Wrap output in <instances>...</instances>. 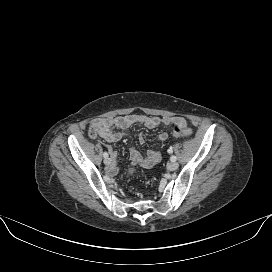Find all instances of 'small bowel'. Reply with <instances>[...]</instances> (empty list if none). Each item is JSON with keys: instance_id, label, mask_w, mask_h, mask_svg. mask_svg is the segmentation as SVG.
Here are the masks:
<instances>
[{"instance_id": "c3829d8e", "label": "small bowel", "mask_w": 272, "mask_h": 272, "mask_svg": "<svg viewBox=\"0 0 272 272\" xmlns=\"http://www.w3.org/2000/svg\"><path fill=\"white\" fill-rule=\"evenodd\" d=\"M132 125H141L153 129L160 125H179L186 127L187 123L186 120L180 116L159 117L130 114L93 120L89 125V137L91 139L101 137L109 143H114L125 136L124 132H116L114 131V128L124 130ZM167 138L168 134L166 132H161L158 135V139L161 141H165ZM139 141L140 143H143L144 137L140 136ZM110 154L114 160L116 158V152L113 149H110ZM129 159L131 164L148 169L155 166L160 161L161 154L156 150H148L146 155L142 156L134 147H132L129 151ZM117 171L118 169L114 165L109 169L111 174H115Z\"/></svg>"}]
</instances>
